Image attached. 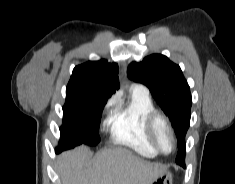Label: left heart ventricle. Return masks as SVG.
<instances>
[{
    "instance_id": "b2bd125f",
    "label": "left heart ventricle",
    "mask_w": 235,
    "mask_h": 184,
    "mask_svg": "<svg viewBox=\"0 0 235 184\" xmlns=\"http://www.w3.org/2000/svg\"><path fill=\"white\" fill-rule=\"evenodd\" d=\"M157 141L160 148L166 153H170L174 148L173 136L170 131L163 126L158 129Z\"/></svg>"
}]
</instances>
